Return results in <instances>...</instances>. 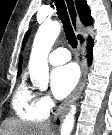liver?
<instances>
[{
    "mask_svg": "<svg viewBox=\"0 0 112 135\" xmlns=\"http://www.w3.org/2000/svg\"><path fill=\"white\" fill-rule=\"evenodd\" d=\"M2 135H54L50 123L31 124L16 119H7L3 122Z\"/></svg>",
    "mask_w": 112,
    "mask_h": 135,
    "instance_id": "1",
    "label": "liver"
}]
</instances>
